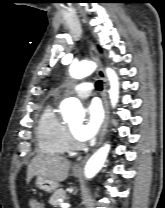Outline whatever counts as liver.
I'll return each instance as SVG.
<instances>
[{"label": "liver", "mask_w": 165, "mask_h": 208, "mask_svg": "<svg viewBox=\"0 0 165 208\" xmlns=\"http://www.w3.org/2000/svg\"><path fill=\"white\" fill-rule=\"evenodd\" d=\"M70 161L58 155H36L28 165L27 182L35 175H40L56 183L63 182L68 177Z\"/></svg>", "instance_id": "1"}]
</instances>
